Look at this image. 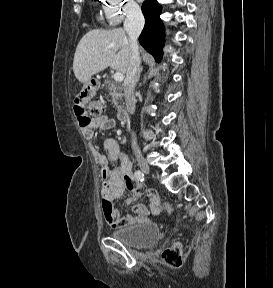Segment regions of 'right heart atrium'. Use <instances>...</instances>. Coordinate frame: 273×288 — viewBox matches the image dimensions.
<instances>
[{
	"mask_svg": "<svg viewBox=\"0 0 273 288\" xmlns=\"http://www.w3.org/2000/svg\"><path fill=\"white\" fill-rule=\"evenodd\" d=\"M102 9L107 22L118 25L125 17L139 13V6L134 0H101Z\"/></svg>",
	"mask_w": 273,
	"mask_h": 288,
	"instance_id": "d8ad5b80",
	"label": "right heart atrium"
}]
</instances>
